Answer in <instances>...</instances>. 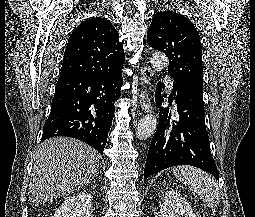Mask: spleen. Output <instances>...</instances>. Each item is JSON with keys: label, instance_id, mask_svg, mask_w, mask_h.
Wrapping results in <instances>:
<instances>
[{"label": "spleen", "instance_id": "spleen-1", "mask_svg": "<svg viewBox=\"0 0 255 217\" xmlns=\"http://www.w3.org/2000/svg\"><path fill=\"white\" fill-rule=\"evenodd\" d=\"M175 177L194 191L207 207L213 208L220 202L219 187L206 172L192 166H177L172 169Z\"/></svg>", "mask_w": 255, "mask_h": 217}]
</instances>
